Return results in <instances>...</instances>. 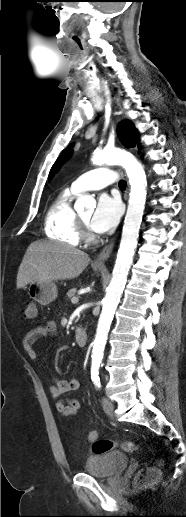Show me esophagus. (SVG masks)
<instances>
[{
	"instance_id": "34e87169",
	"label": "esophagus",
	"mask_w": 186,
	"mask_h": 517,
	"mask_svg": "<svg viewBox=\"0 0 186 517\" xmlns=\"http://www.w3.org/2000/svg\"><path fill=\"white\" fill-rule=\"evenodd\" d=\"M114 243H115V240H111L109 242V244H107L103 250L101 251V253L98 255V257L94 260L93 264L96 265V266H104L105 265V261L110 257L112 251H113V248H114Z\"/></svg>"
}]
</instances>
